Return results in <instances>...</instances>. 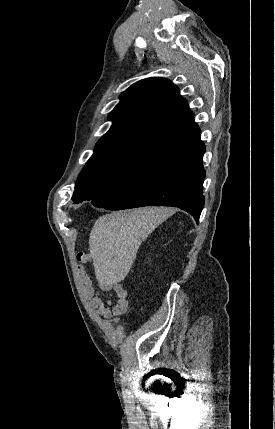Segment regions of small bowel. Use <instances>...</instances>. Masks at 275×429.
<instances>
[{
  "label": "small bowel",
  "mask_w": 275,
  "mask_h": 429,
  "mask_svg": "<svg viewBox=\"0 0 275 429\" xmlns=\"http://www.w3.org/2000/svg\"><path fill=\"white\" fill-rule=\"evenodd\" d=\"M81 274V292L85 299L89 301L90 307L99 315L105 318H111L122 314L127 307L126 297L127 292L120 284H114L110 288L119 296V301L116 305L112 306L110 303L105 302L101 296L96 293L87 274L83 268Z\"/></svg>",
  "instance_id": "small-bowel-1"
}]
</instances>
